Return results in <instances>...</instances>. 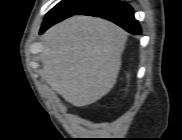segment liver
I'll return each mask as SVG.
<instances>
[{
	"label": "liver",
	"mask_w": 182,
	"mask_h": 140,
	"mask_svg": "<svg viewBox=\"0 0 182 140\" xmlns=\"http://www.w3.org/2000/svg\"><path fill=\"white\" fill-rule=\"evenodd\" d=\"M40 54L41 78L73 106L105 96L121 66L127 33L96 17L73 16L47 30Z\"/></svg>",
	"instance_id": "liver-1"
}]
</instances>
